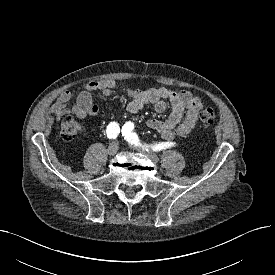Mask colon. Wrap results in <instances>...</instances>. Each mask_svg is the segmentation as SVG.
<instances>
[{"instance_id": "5ec220e1", "label": "colon", "mask_w": 275, "mask_h": 275, "mask_svg": "<svg viewBox=\"0 0 275 275\" xmlns=\"http://www.w3.org/2000/svg\"><path fill=\"white\" fill-rule=\"evenodd\" d=\"M199 119L204 126H211L216 121V112L211 108L202 110ZM82 131V125L72 116H65L61 121V135L66 140L74 139Z\"/></svg>"}]
</instances>
